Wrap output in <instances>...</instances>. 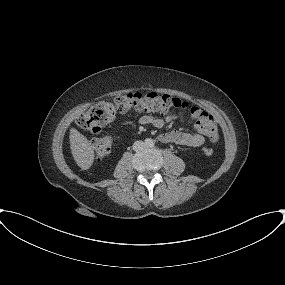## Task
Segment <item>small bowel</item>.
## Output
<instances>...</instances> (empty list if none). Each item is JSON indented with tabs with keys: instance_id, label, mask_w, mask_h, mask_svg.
Instances as JSON below:
<instances>
[{
	"instance_id": "c3829d8e",
	"label": "small bowel",
	"mask_w": 285,
	"mask_h": 285,
	"mask_svg": "<svg viewBox=\"0 0 285 285\" xmlns=\"http://www.w3.org/2000/svg\"><path fill=\"white\" fill-rule=\"evenodd\" d=\"M176 118L177 116L174 114H168L163 117L142 115L138 119V123L142 125H152L156 128H161L164 125L174 121ZM122 126L130 128L134 126V123L130 121H124L122 122ZM159 140L164 143H175L189 147H200L205 142V134H203L202 132H183V131L173 130L161 134L159 136Z\"/></svg>"
}]
</instances>
